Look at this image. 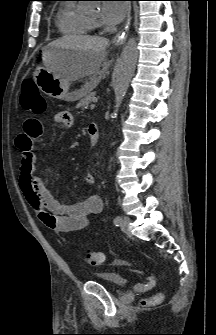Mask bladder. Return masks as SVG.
<instances>
[{"label":"bladder","instance_id":"obj_1","mask_svg":"<svg viewBox=\"0 0 216 335\" xmlns=\"http://www.w3.org/2000/svg\"><path fill=\"white\" fill-rule=\"evenodd\" d=\"M96 280L108 284L113 288H119L124 285L126 279L122 273L119 272H102L95 274Z\"/></svg>","mask_w":216,"mask_h":335}]
</instances>
